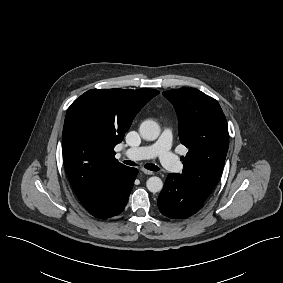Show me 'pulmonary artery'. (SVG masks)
I'll list each match as a JSON object with an SVG mask.
<instances>
[{
    "instance_id": "pulmonary-artery-1",
    "label": "pulmonary artery",
    "mask_w": 283,
    "mask_h": 283,
    "mask_svg": "<svg viewBox=\"0 0 283 283\" xmlns=\"http://www.w3.org/2000/svg\"><path fill=\"white\" fill-rule=\"evenodd\" d=\"M172 135V130L165 128L157 141L138 148L128 149L124 154L134 160L158 157L162 166L167 170L175 173L181 172L183 165L171 151Z\"/></svg>"
}]
</instances>
